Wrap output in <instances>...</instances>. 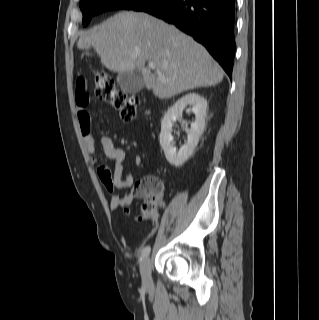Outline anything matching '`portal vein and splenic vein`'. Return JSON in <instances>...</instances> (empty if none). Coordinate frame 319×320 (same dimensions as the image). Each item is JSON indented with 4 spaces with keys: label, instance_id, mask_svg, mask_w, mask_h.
I'll use <instances>...</instances> for the list:
<instances>
[{
    "label": "portal vein and splenic vein",
    "instance_id": "18ae733b",
    "mask_svg": "<svg viewBox=\"0 0 319 320\" xmlns=\"http://www.w3.org/2000/svg\"><path fill=\"white\" fill-rule=\"evenodd\" d=\"M155 67H156L155 63H153V62H149L148 63V68L149 69H155ZM159 79L160 80H164V77L160 76Z\"/></svg>",
    "mask_w": 319,
    "mask_h": 320
}]
</instances>
